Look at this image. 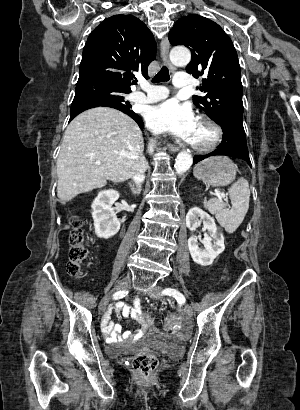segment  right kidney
<instances>
[{"label": "right kidney", "mask_w": 300, "mask_h": 410, "mask_svg": "<svg viewBox=\"0 0 300 410\" xmlns=\"http://www.w3.org/2000/svg\"><path fill=\"white\" fill-rule=\"evenodd\" d=\"M118 198L119 193L109 189L100 191L94 199L91 208L97 237L108 239L119 231L120 222L112 208Z\"/></svg>", "instance_id": "ca27d5eb"}]
</instances>
